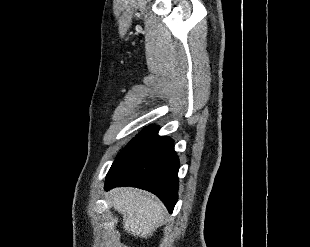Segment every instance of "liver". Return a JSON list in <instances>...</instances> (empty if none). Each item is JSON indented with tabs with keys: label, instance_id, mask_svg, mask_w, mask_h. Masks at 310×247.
<instances>
[{
	"label": "liver",
	"instance_id": "1",
	"mask_svg": "<svg viewBox=\"0 0 310 247\" xmlns=\"http://www.w3.org/2000/svg\"><path fill=\"white\" fill-rule=\"evenodd\" d=\"M111 206L123 215V227L133 236L148 238L161 224L163 205L147 192L123 188L110 192Z\"/></svg>",
	"mask_w": 310,
	"mask_h": 247
}]
</instances>
